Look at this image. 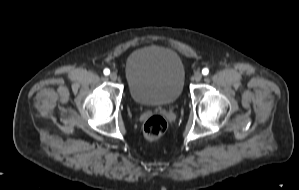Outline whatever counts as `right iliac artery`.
Wrapping results in <instances>:
<instances>
[{"label":"right iliac artery","mask_w":299,"mask_h":190,"mask_svg":"<svg viewBox=\"0 0 299 190\" xmlns=\"http://www.w3.org/2000/svg\"><path fill=\"white\" fill-rule=\"evenodd\" d=\"M103 73H104L105 75H109V74H110V70H109L108 68H106V69H104Z\"/></svg>","instance_id":"right-iliac-artery-1"}]
</instances>
